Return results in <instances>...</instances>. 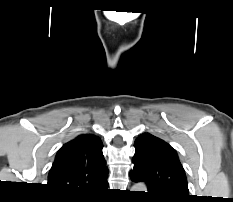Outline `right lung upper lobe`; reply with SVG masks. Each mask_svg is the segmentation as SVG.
<instances>
[{
    "mask_svg": "<svg viewBox=\"0 0 233 202\" xmlns=\"http://www.w3.org/2000/svg\"><path fill=\"white\" fill-rule=\"evenodd\" d=\"M99 137L83 134L64 144L50 169L48 186L57 194L89 197L107 189L108 168Z\"/></svg>",
    "mask_w": 233,
    "mask_h": 202,
    "instance_id": "1",
    "label": "right lung upper lobe"
}]
</instances>
